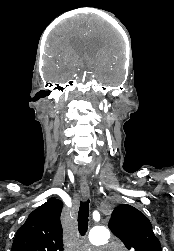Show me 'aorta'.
I'll return each instance as SVG.
<instances>
[{
  "label": "aorta",
  "mask_w": 174,
  "mask_h": 251,
  "mask_svg": "<svg viewBox=\"0 0 174 251\" xmlns=\"http://www.w3.org/2000/svg\"><path fill=\"white\" fill-rule=\"evenodd\" d=\"M110 238V232L103 226L93 228L89 233V242L94 246L104 245Z\"/></svg>",
  "instance_id": "762f6f07"
}]
</instances>
